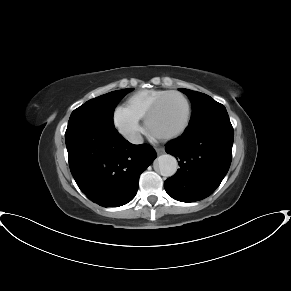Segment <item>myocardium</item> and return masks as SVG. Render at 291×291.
I'll return each mask as SVG.
<instances>
[{
	"label": "myocardium",
	"instance_id": "f54148a6",
	"mask_svg": "<svg viewBox=\"0 0 291 291\" xmlns=\"http://www.w3.org/2000/svg\"><path fill=\"white\" fill-rule=\"evenodd\" d=\"M179 96L181 98H183V100L185 101L186 104V108H187V116H186V120L184 122V124L176 131L166 134V135H156L151 131V121L153 116L156 114V112L158 111V109L161 107V105L163 104V102L170 96ZM192 121V105L190 100L188 99V97L179 91H169L168 93L164 94L163 96H161L154 104L153 106L149 109V111L147 112L146 116H145V127H146V132L148 133L149 136H151L152 138L158 139V140H171L174 138H177L181 135H183L186 130L189 128L190 124Z\"/></svg>",
	"mask_w": 291,
	"mask_h": 291
}]
</instances>
